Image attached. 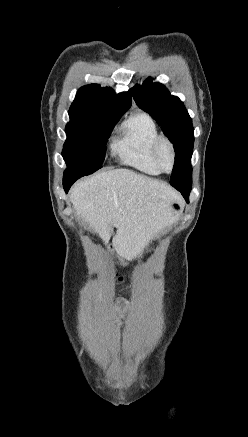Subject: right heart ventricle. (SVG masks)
Returning a JSON list of instances; mask_svg holds the SVG:
<instances>
[{
    "label": "right heart ventricle",
    "mask_w": 248,
    "mask_h": 437,
    "mask_svg": "<svg viewBox=\"0 0 248 437\" xmlns=\"http://www.w3.org/2000/svg\"><path fill=\"white\" fill-rule=\"evenodd\" d=\"M159 137L155 120L145 112L135 113L119 126L112 150L121 163L144 174L157 176L161 171L154 162L152 148Z\"/></svg>",
    "instance_id": "right-heart-ventricle-1"
}]
</instances>
